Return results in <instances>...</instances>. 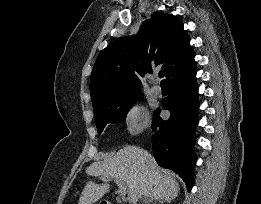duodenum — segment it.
I'll use <instances>...</instances> for the list:
<instances>
[{
    "mask_svg": "<svg viewBox=\"0 0 261 204\" xmlns=\"http://www.w3.org/2000/svg\"><path fill=\"white\" fill-rule=\"evenodd\" d=\"M103 204H111V203L105 202V203H103Z\"/></svg>",
    "mask_w": 261,
    "mask_h": 204,
    "instance_id": "410a0bca",
    "label": "duodenum"
}]
</instances>
